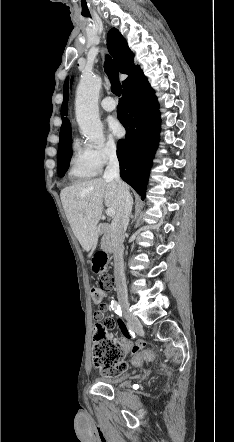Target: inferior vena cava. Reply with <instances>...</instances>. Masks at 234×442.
Listing matches in <instances>:
<instances>
[{
	"label": "inferior vena cava",
	"instance_id": "obj_1",
	"mask_svg": "<svg viewBox=\"0 0 234 442\" xmlns=\"http://www.w3.org/2000/svg\"><path fill=\"white\" fill-rule=\"evenodd\" d=\"M108 164L103 179L114 180L120 189V204L116 216L111 224V241L114 249V276L118 297L127 299V286L124 274V234L129 224V216L132 211L133 198L121 181L119 174V162L115 148L107 150Z\"/></svg>",
	"mask_w": 234,
	"mask_h": 442
}]
</instances>
